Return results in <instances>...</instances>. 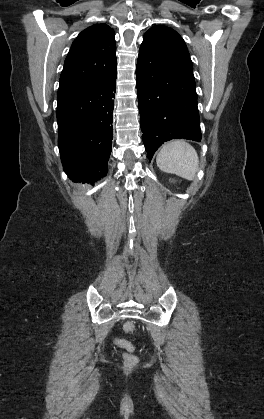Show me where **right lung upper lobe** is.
<instances>
[{"label": "right lung upper lobe", "mask_w": 264, "mask_h": 419, "mask_svg": "<svg viewBox=\"0 0 264 419\" xmlns=\"http://www.w3.org/2000/svg\"><path fill=\"white\" fill-rule=\"evenodd\" d=\"M114 31L106 24L83 30L65 59L58 91H68L109 78L116 72Z\"/></svg>", "instance_id": "obj_1"}]
</instances>
